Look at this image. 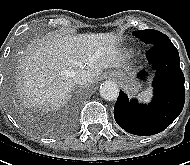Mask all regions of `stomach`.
I'll use <instances>...</instances> for the list:
<instances>
[{
	"label": "stomach",
	"instance_id": "1",
	"mask_svg": "<svg viewBox=\"0 0 190 165\" xmlns=\"http://www.w3.org/2000/svg\"><path fill=\"white\" fill-rule=\"evenodd\" d=\"M114 74L130 93H137L141 89L140 83L133 79V75L121 71H114Z\"/></svg>",
	"mask_w": 190,
	"mask_h": 165
}]
</instances>
